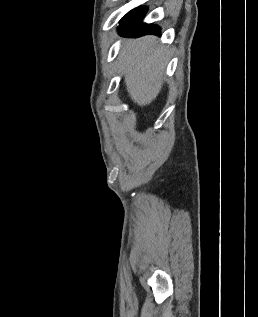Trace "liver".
Here are the masks:
<instances>
[{
	"instance_id": "6515ba94",
	"label": "liver",
	"mask_w": 258,
	"mask_h": 317,
	"mask_svg": "<svg viewBox=\"0 0 258 317\" xmlns=\"http://www.w3.org/2000/svg\"><path fill=\"white\" fill-rule=\"evenodd\" d=\"M168 48L158 44L156 36L126 38L119 52L120 70L125 74L127 90L140 106L159 94L167 64Z\"/></svg>"
}]
</instances>
